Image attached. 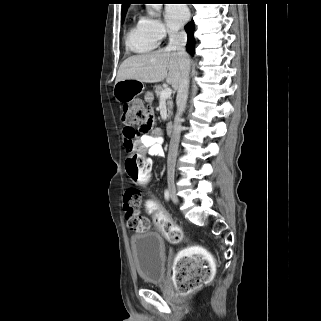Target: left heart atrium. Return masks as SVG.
Returning a JSON list of instances; mask_svg holds the SVG:
<instances>
[{
  "label": "left heart atrium",
  "mask_w": 321,
  "mask_h": 321,
  "mask_svg": "<svg viewBox=\"0 0 321 321\" xmlns=\"http://www.w3.org/2000/svg\"><path fill=\"white\" fill-rule=\"evenodd\" d=\"M188 9L182 4H168L165 8V18L168 26L179 29L188 19Z\"/></svg>",
  "instance_id": "1"
}]
</instances>
